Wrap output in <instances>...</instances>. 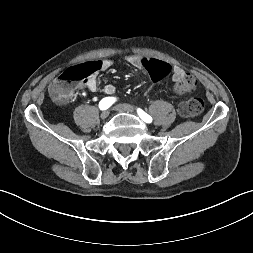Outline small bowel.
I'll return each instance as SVG.
<instances>
[{
	"label": "small bowel",
	"instance_id": "c3829d8e",
	"mask_svg": "<svg viewBox=\"0 0 253 253\" xmlns=\"http://www.w3.org/2000/svg\"><path fill=\"white\" fill-rule=\"evenodd\" d=\"M139 57H144L145 61L139 62L138 61ZM148 59H149V57H146L143 55H129V56H126V58H125L127 63H129L133 67L140 69V70H148V67L147 68L143 67V64L146 63V61ZM153 60H156V59H153ZM97 63H98V70L97 71L109 70L113 65V61L110 59H104L101 61H97ZM183 74H184V70L181 67H179V66L172 67V78L174 81H177ZM79 88H87L90 91L95 92L98 89V80H97L96 75L95 74L91 75L83 84L79 85ZM103 91L107 95H114L116 92V88L112 84H107L104 86Z\"/></svg>",
	"mask_w": 253,
	"mask_h": 253
}]
</instances>
